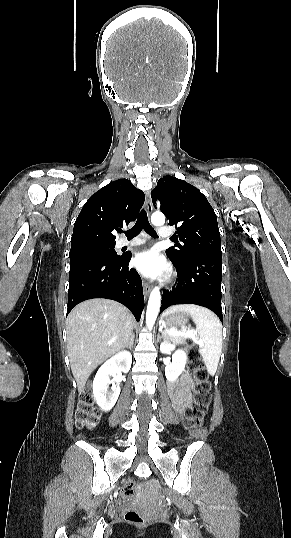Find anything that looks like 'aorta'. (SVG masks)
<instances>
[{
    "mask_svg": "<svg viewBox=\"0 0 291 538\" xmlns=\"http://www.w3.org/2000/svg\"><path fill=\"white\" fill-rule=\"evenodd\" d=\"M151 221L156 226H161L165 223V216L161 212H155L151 216ZM161 304V294L159 288L155 287L149 297L147 311H146V325L149 329H152Z\"/></svg>",
    "mask_w": 291,
    "mask_h": 538,
    "instance_id": "aorta-1",
    "label": "aorta"
}]
</instances>
